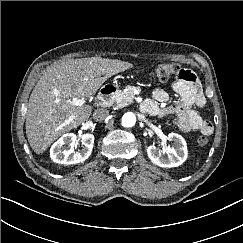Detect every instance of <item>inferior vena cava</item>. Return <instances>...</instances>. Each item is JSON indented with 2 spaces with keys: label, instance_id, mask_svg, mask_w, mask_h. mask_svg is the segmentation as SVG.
<instances>
[{
  "label": "inferior vena cava",
  "instance_id": "1",
  "mask_svg": "<svg viewBox=\"0 0 243 243\" xmlns=\"http://www.w3.org/2000/svg\"><path fill=\"white\" fill-rule=\"evenodd\" d=\"M109 116V111L105 108H98L93 113V118L96 121H104Z\"/></svg>",
  "mask_w": 243,
  "mask_h": 243
}]
</instances>
